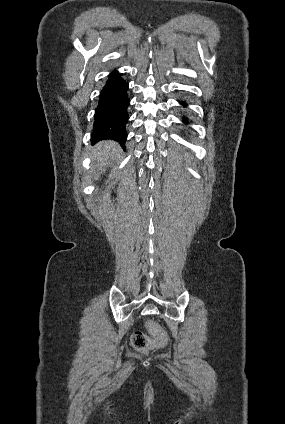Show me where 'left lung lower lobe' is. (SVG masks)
Masks as SVG:
<instances>
[{"instance_id": "left-lung-lower-lobe-1", "label": "left lung lower lobe", "mask_w": 285, "mask_h": 424, "mask_svg": "<svg viewBox=\"0 0 285 424\" xmlns=\"http://www.w3.org/2000/svg\"><path fill=\"white\" fill-rule=\"evenodd\" d=\"M183 106H187L186 102H180ZM184 123H188V120L186 118L183 119Z\"/></svg>"}]
</instances>
